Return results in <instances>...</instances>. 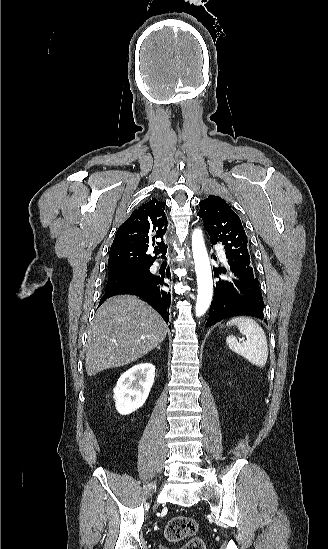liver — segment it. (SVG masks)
Here are the masks:
<instances>
[{"instance_id": "obj_1", "label": "liver", "mask_w": 328, "mask_h": 549, "mask_svg": "<svg viewBox=\"0 0 328 549\" xmlns=\"http://www.w3.org/2000/svg\"><path fill=\"white\" fill-rule=\"evenodd\" d=\"M166 333L164 319L139 297L117 295L107 299L88 331V377L141 359L164 341Z\"/></svg>"}]
</instances>
